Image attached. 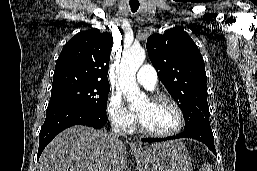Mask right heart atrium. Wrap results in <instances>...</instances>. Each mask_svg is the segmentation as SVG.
Returning <instances> with one entry per match:
<instances>
[{
  "label": "right heart atrium",
  "instance_id": "obj_1",
  "mask_svg": "<svg viewBox=\"0 0 257 171\" xmlns=\"http://www.w3.org/2000/svg\"><path fill=\"white\" fill-rule=\"evenodd\" d=\"M107 115L112 124L122 131H129L135 123V115L125 106L121 96L110 94L107 102Z\"/></svg>",
  "mask_w": 257,
  "mask_h": 171
}]
</instances>
